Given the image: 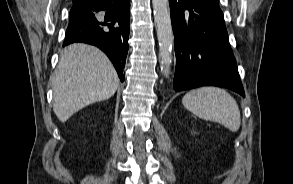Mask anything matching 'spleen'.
<instances>
[{"label":"spleen","instance_id":"obj_1","mask_svg":"<svg viewBox=\"0 0 293 184\" xmlns=\"http://www.w3.org/2000/svg\"><path fill=\"white\" fill-rule=\"evenodd\" d=\"M184 107L201 119L222 124L235 132L241 124L240 110L236 100L224 89L201 87L186 93Z\"/></svg>","mask_w":293,"mask_h":184}]
</instances>
